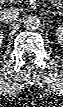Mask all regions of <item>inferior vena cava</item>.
Here are the masks:
<instances>
[{
	"label": "inferior vena cava",
	"instance_id": "obj_1",
	"mask_svg": "<svg viewBox=\"0 0 63 107\" xmlns=\"http://www.w3.org/2000/svg\"><path fill=\"white\" fill-rule=\"evenodd\" d=\"M18 11L15 8H5L0 11V21L2 23H11L16 20Z\"/></svg>",
	"mask_w": 63,
	"mask_h": 107
}]
</instances>
